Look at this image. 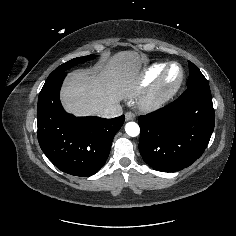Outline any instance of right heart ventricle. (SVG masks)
I'll list each match as a JSON object with an SVG mask.
<instances>
[{
	"instance_id": "e07e8e85",
	"label": "right heart ventricle",
	"mask_w": 236,
	"mask_h": 236,
	"mask_svg": "<svg viewBox=\"0 0 236 236\" xmlns=\"http://www.w3.org/2000/svg\"><path fill=\"white\" fill-rule=\"evenodd\" d=\"M166 66L167 64L165 63H155L146 68L141 75L136 89L140 90L155 81L162 74Z\"/></svg>"
}]
</instances>
